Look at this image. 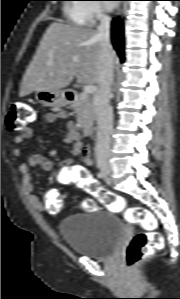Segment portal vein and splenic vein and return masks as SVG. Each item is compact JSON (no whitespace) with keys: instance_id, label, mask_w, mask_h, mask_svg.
<instances>
[{"instance_id":"18ae733b","label":"portal vein and splenic vein","mask_w":180,"mask_h":299,"mask_svg":"<svg viewBox=\"0 0 180 299\" xmlns=\"http://www.w3.org/2000/svg\"><path fill=\"white\" fill-rule=\"evenodd\" d=\"M83 91L85 94H91L96 91V87L94 85H85Z\"/></svg>"}]
</instances>
